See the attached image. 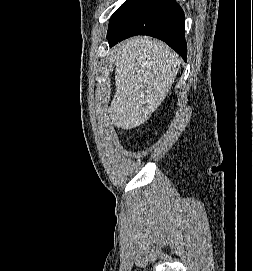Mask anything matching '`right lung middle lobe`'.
I'll return each instance as SVG.
<instances>
[{
	"label": "right lung middle lobe",
	"mask_w": 253,
	"mask_h": 271,
	"mask_svg": "<svg viewBox=\"0 0 253 271\" xmlns=\"http://www.w3.org/2000/svg\"><path fill=\"white\" fill-rule=\"evenodd\" d=\"M135 1L136 0H127L117 9L110 19L108 32L114 30L119 25Z\"/></svg>",
	"instance_id": "right-lung-middle-lobe-1"
}]
</instances>
